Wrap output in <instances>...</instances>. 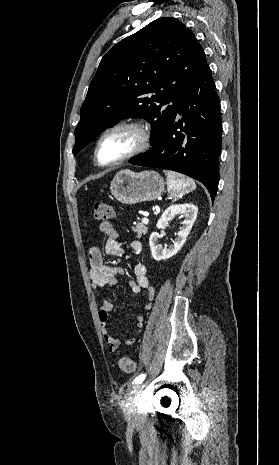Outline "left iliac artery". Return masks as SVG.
Returning <instances> with one entry per match:
<instances>
[{
    "label": "left iliac artery",
    "mask_w": 279,
    "mask_h": 465,
    "mask_svg": "<svg viewBox=\"0 0 279 465\" xmlns=\"http://www.w3.org/2000/svg\"><path fill=\"white\" fill-rule=\"evenodd\" d=\"M145 374H140L138 377H136L134 383L135 384H138V383H142V381L145 379Z\"/></svg>",
    "instance_id": "obj_1"
}]
</instances>
